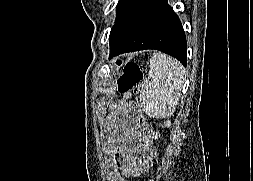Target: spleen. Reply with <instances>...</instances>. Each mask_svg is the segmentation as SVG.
I'll use <instances>...</instances> for the list:
<instances>
[{
    "label": "spleen",
    "mask_w": 253,
    "mask_h": 181,
    "mask_svg": "<svg viewBox=\"0 0 253 181\" xmlns=\"http://www.w3.org/2000/svg\"><path fill=\"white\" fill-rule=\"evenodd\" d=\"M184 68L164 53H153L148 78L144 81L140 102L144 112L153 118L173 115L181 95Z\"/></svg>",
    "instance_id": "3e777b00"
}]
</instances>
